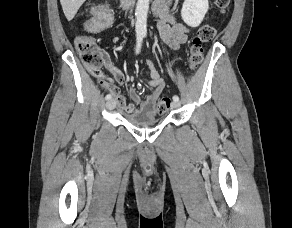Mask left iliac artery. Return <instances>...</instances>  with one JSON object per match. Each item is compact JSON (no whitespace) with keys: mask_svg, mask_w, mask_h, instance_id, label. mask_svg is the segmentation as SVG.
I'll list each match as a JSON object with an SVG mask.
<instances>
[{"mask_svg":"<svg viewBox=\"0 0 292 228\" xmlns=\"http://www.w3.org/2000/svg\"><path fill=\"white\" fill-rule=\"evenodd\" d=\"M173 100H174V101H179V97H178L177 95H174V96H173Z\"/></svg>","mask_w":292,"mask_h":228,"instance_id":"1","label":"left iliac artery"}]
</instances>
